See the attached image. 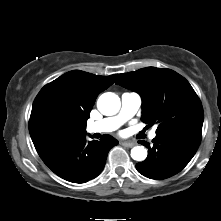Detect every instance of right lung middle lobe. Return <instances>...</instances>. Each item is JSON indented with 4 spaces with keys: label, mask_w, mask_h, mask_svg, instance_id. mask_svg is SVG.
<instances>
[{
    "label": "right lung middle lobe",
    "mask_w": 221,
    "mask_h": 221,
    "mask_svg": "<svg viewBox=\"0 0 221 221\" xmlns=\"http://www.w3.org/2000/svg\"><path fill=\"white\" fill-rule=\"evenodd\" d=\"M55 130L59 133V134H65L66 133V127L63 123L61 122H57L54 125Z\"/></svg>",
    "instance_id": "dd1d6c3e"
}]
</instances>
